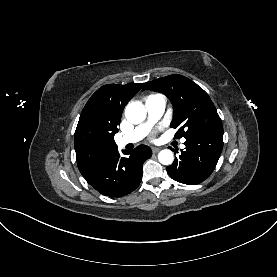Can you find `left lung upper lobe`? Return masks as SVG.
<instances>
[{"label": "left lung upper lobe", "instance_id": "left-lung-upper-lobe-1", "mask_svg": "<svg viewBox=\"0 0 277 277\" xmlns=\"http://www.w3.org/2000/svg\"><path fill=\"white\" fill-rule=\"evenodd\" d=\"M165 94L173 104L171 127H179L176 137L190 138L200 133L223 129L221 119L208 94L196 83L182 75H169L144 84Z\"/></svg>", "mask_w": 277, "mask_h": 277}]
</instances>
